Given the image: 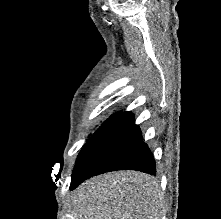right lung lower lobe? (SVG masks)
I'll return each mask as SVG.
<instances>
[{"label":"right lung lower lobe","mask_w":221,"mask_h":219,"mask_svg":"<svg viewBox=\"0 0 221 219\" xmlns=\"http://www.w3.org/2000/svg\"><path fill=\"white\" fill-rule=\"evenodd\" d=\"M116 170L156 173L153 155L131 112L111 116L90 137L78 155L70 189L92 176Z\"/></svg>","instance_id":"1"}]
</instances>
